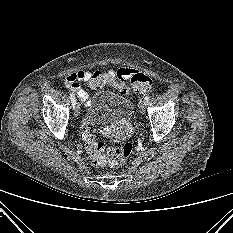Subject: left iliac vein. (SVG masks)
Wrapping results in <instances>:
<instances>
[{
  "label": "left iliac vein",
  "instance_id": "4c4485c4",
  "mask_svg": "<svg viewBox=\"0 0 233 233\" xmlns=\"http://www.w3.org/2000/svg\"><path fill=\"white\" fill-rule=\"evenodd\" d=\"M139 109H140V112H141L142 114L145 113L146 104H145L144 100H143L142 102H140Z\"/></svg>",
  "mask_w": 233,
  "mask_h": 233
}]
</instances>
